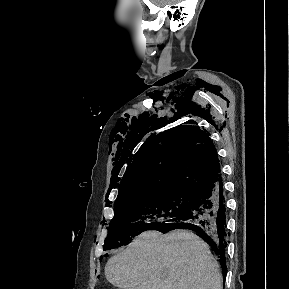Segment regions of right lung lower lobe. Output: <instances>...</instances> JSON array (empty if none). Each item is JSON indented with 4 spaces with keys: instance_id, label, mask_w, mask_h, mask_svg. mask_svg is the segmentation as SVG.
Returning <instances> with one entry per match:
<instances>
[{
    "instance_id": "1",
    "label": "right lung lower lobe",
    "mask_w": 289,
    "mask_h": 289,
    "mask_svg": "<svg viewBox=\"0 0 289 289\" xmlns=\"http://www.w3.org/2000/svg\"><path fill=\"white\" fill-rule=\"evenodd\" d=\"M194 193L195 198L185 214L170 219L156 230L162 233L174 229H188L196 232L218 255L225 276L227 234L222 177Z\"/></svg>"
}]
</instances>
